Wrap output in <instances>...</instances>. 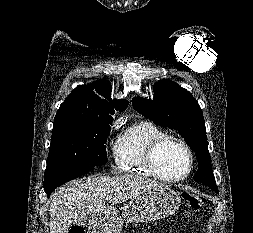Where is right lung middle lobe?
Listing matches in <instances>:
<instances>
[{
	"label": "right lung middle lobe",
	"mask_w": 253,
	"mask_h": 233,
	"mask_svg": "<svg viewBox=\"0 0 253 233\" xmlns=\"http://www.w3.org/2000/svg\"><path fill=\"white\" fill-rule=\"evenodd\" d=\"M113 117L57 112L45 175L70 167L107 163L106 141Z\"/></svg>",
	"instance_id": "dd1d6c3e"
}]
</instances>
